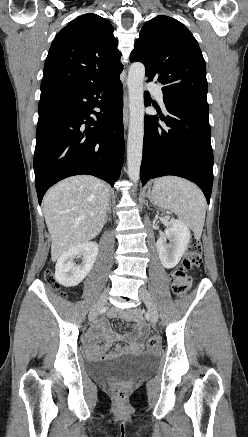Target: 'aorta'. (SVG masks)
Instances as JSON below:
<instances>
[{
  "instance_id": "1",
  "label": "aorta",
  "mask_w": 248,
  "mask_h": 437,
  "mask_svg": "<svg viewBox=\"0 0 248 437\" xmlns=\"http://www.w3.org/2000/svg\"><path fill=\"white\" fill-rule=\"evenodd\" d=\"M145 67L142 63H133L128 72L129 93V131L127 141V167L131 181L137 183L140 178V166L143 154L144 138V90Z\"/></svg>"
}]
</instances>
